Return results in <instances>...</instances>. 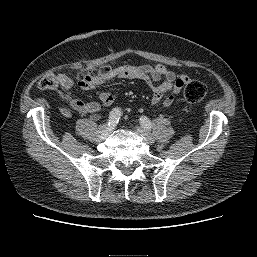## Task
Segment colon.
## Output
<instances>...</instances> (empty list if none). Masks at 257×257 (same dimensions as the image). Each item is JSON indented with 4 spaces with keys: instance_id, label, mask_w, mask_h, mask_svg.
<instances>
[{
    "instance_id": "colon-1",
    "label": "colon",
    "mask_w": 257,
    "mask_h": 257,
    "mask_svg": "<svg viewBox=\"0 0 257 257\" xmlns=\"http://www.w3.org/2000/svg\"><path fill=\"white\" fill-rule=\"evenodd\" d=\"M110 68L101 67L98 69H91L85 73L79 74V80L82 83H91L97 79L102 78ZM57 79L53 73L44 75L39 81V87L44 90L54 89L57 86ZM207 94V87L204 83L196 80L188 81L184 86V99L189 103H198L202 101Z\"/></svg>"
}]
</instances>
